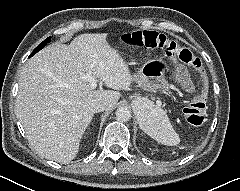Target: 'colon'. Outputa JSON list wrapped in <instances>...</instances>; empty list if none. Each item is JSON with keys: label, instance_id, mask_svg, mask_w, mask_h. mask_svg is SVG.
Masks as SVG:
<instances>
[{"label": "colon", "instance_id": "1", "mask_svg": "<svg viewBox=\"0 0 240 191\" xmlns=\"http://www.w3.org/2000/svg\"><path fill=\"white\" fill-rule=\"evenodd\" d=\"M123 42L131 47L160 48L168 55H177L181 61L193 67L201 79L200 90L193 101L185 108L187 121L199 126L205 120L208 96V79L201 60L188 48L156 31H134L123 36Z\"/></svg>", "mask_w": 240, "mask_h": 191}]
</instances>
